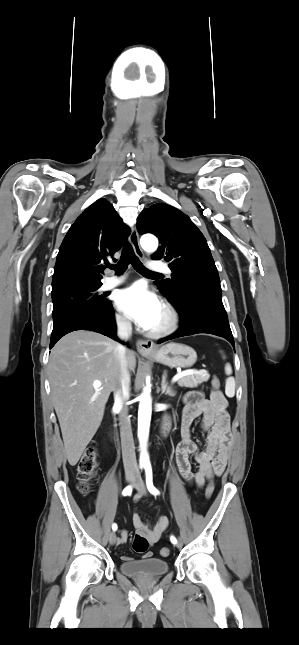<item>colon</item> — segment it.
Masks as SVG:
<instances>
[{
	"mask_svg": "<svg viewBox=\"0 0 299 645\" xmlns=\"http://www.w3.org/2000/svg\"><path fill=\"white\" fill-rule=\"evenodd\" d=\"M212 389L216 392L220 390V381L217 377H213L211 382ZM96 458L97 450L92 444L89 445L83 452L78 465H77V479L78 489L81 493H87L90 489L91 483L96 474ZM214 492L213 483H209L205 489L206 498H210ZM133 550L136 553H146L149 547L147 539L141 535H135L132 543ZM161 555L167 557L170 554V549L164 547L160 551Z\"/></svg>",
	"mask_w": 299,
	"mask_h": 645,
	"instance_id": "colon-1",
	"label": "colon"
}]
</instances>
